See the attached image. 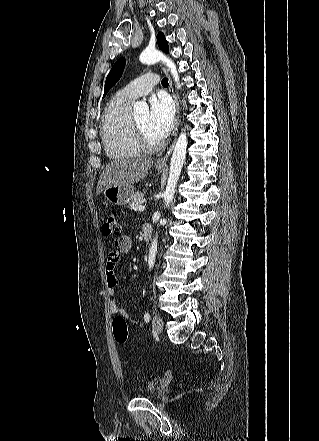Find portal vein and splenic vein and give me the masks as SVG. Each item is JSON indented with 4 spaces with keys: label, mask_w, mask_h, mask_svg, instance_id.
Listing matches in <instances>:
<instances>
[{
    "label": "portal vein and splenic vein",
    "mask_w": 319,
    "mask_h": 441,
    "mask_svg": "<svg viewBox=\"0 0 319 441\" xmlns=\"http://www.w3.org/2000/svg\"><path fill=\"white\" fill-rule=\"evenodd\" d=\"M144 210H145V206L144 205L139 206L138 211L142 212Z\"/></svg>",
    "instance_id": "obj_1"
}]
</instances>
